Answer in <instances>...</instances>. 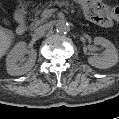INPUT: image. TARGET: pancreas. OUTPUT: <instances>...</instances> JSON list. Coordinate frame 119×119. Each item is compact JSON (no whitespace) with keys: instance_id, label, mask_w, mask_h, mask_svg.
<instances>
[{"instance_id":"cf45deb5","label":"pancreas","mask_w":119,"mask_h":119,"mask_svg":"<svg viewBox=\"0 0 119 119\" xmlns=\"http://www.w3.org/2000/svg\"><path fill=\"white\" fill-rule=\"evenodd\" d=\"M55 5L59 7H67L69 3L64 0H56L54 2H50L48 6L50 7ZM34 11H35L34 14L35 18L32 20V23L29 27L31 30H34L38 25H40L46 20L43 16H40V14L42 13V9H35Z\"/></svg>"}]
</instances>
